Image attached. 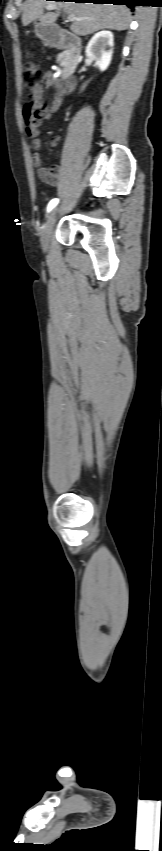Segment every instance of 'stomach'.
<instances>
[{
	"label": "stomach",
	"instance_id": "stomach-1",
	"mask_svg": "<svg viewBox=\"0 0 162 851\" xmlns=\"http://www.w3.org/2000/svg\"><path fill=\"white\" fill-rule=\"evenodd\" d=\"M35 33L45 42H55L59 39V28L55 25L38 23L35 25Z\"/></svg>",
	"mask_w": 162,
	"mask_h": 851
}]
</instances>
